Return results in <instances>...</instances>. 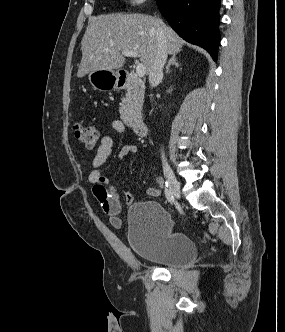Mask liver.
<instances>
[{
    "instance_id": "6515ba94",
    "label": "liver",
    "mask_w": 285,
    "mask_h": 332,
    "mask_svg": "<svg viewBox=\"0 0 285 332\" xmlns=\"http://www.w3.org/2000/svg\"><path fill=\"white\" fill-rule=\"evenodd\" d=\"M161 25L165 28L167 52H180L184 41L156 17L111 14L90 19L81 41L82 59L77 77L82 78L94 70L120 69L126 61L122 51L126 50L136 51L145 71L149 73L157 53V31Z\"/></svg>"
}]
</instances>
